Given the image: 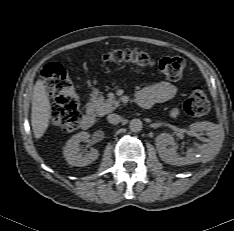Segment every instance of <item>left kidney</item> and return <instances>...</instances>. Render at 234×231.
Listing matches in <instances>:
<instances>
[{
    "instance_id": "5707ae66",
    "label": "left kidney",
    "mask_w": 234,
    "mask_h": 231,
    "mask_svg": "<svg viewBox=\"0 0 234 231\" xmlns=\"http://www.w3.org/2000/svg\"><path fill=\"white\" fill-rule=\"evenodd\" d=\"M192 134L206 132L209 137L206 143L198 145L196 148H189L185 156H180L176 152L175 140L172 135L162 133L155 139L156 148L162 161L171 165H188L200 162L203 159H210L221 149L224 140L223 128L211 122H196L190 125Z\"/></svg>"
}]
</instances>
